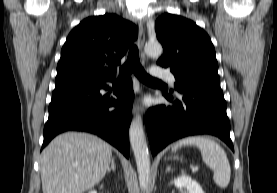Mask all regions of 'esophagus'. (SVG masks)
Instances as JSON below:
<instances>
[{"instance_id": "1", "label": "esophagus", "mask_w": 277, "mask_h": 193, "mask_svg": "<svg viewBox=\"0 0 277 193\" xmlns=\"http://www.w3.org/2000/svg\"><path fill=\"white\" fill-rule=\"evenodd\" d=\"M138 29H139V48L141 50L142 55H144L143 47H144V43H145V31L140 22L138 23ZM133 111H134V113L144 111V108H143L142 103L139 98L135 101V103L133 105Z\"/></svg>"}]
</instances>
